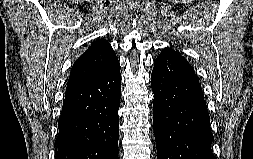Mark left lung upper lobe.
<instances>
[{
  "instance_id": "left-lung-upper-lobe-1",
  "label": "left lung upper lobe",
  "mask_w": 253,
  "mask_h": 159,
  "mask_svg": "<svg viewBox=\"0 0 253 159\" xmlns=\"http://www.w3.org/2000/svg\"><path fill=\"white\" fill-rule=\"evenodd\" d=\"M164 50H172V49H170V48H166V49H164Z\"/></svg>"
}]
</instances>
